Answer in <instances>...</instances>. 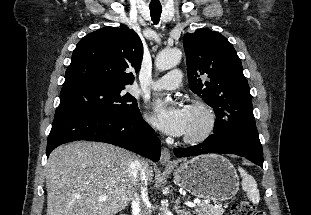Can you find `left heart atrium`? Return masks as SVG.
Instances as JSON below:
<instances>
[{"label": "left heart atrium", "mask_w": 311, "mask_h": 215, "mask_svg": "<svg viewBox=\"0 0 311 215\" xmlns=\"http://www.w3.org/2000/svg\"><path fill=\"white\" fill-rule=\"evenodd\" d=\"M149 117L166 134L182 136L186 133L188 111L185 107L156 99L149 108Z\"/></svg>", "instance_id": "1"}]
</instances>
